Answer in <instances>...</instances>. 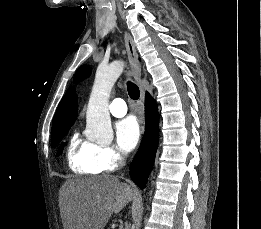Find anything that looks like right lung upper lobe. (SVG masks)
I'll return each instance as SVG.
<instances>
[{
  "label": "right lung upper lobe",
  "instance_id": "1",
  "mask_svg": "<svg viewBox=\"0 0 261 229\" xmlns=\"http://www.w3.org/2000/svg\"><path fill=\"white\" fill-rule=\"evenodd\" d=\"M77 97L73 88H69L62 98L53 118L52 126L73 124L77 117Z\"/></svg>",
  "mask_w": 261,
  "mask_h": 229
}]
</instances>
